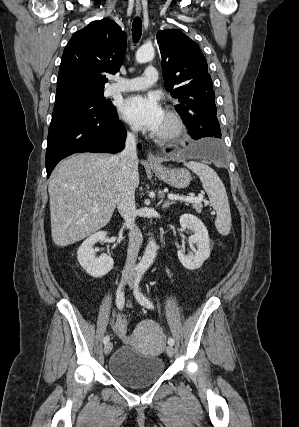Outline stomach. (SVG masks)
Returning a JSON list of instances; mask_svg holds the SVG:
<instances>
[{"label":"stomach","mask_w":299,"mask_h":427,"mask_svg":"<svg viewBox=\"0 0 299 427\" xmlns=\"http://www.w3.org/2000/svg\"><path fill=\"white\" fill-rule=\"evenodd\" d=\"M151 169L159 179L177 189L186 188L192 179L190 172L185 169H169L163 166H151Z\"/></svg>","instance_id":"0dacf381"}]
</instances>
